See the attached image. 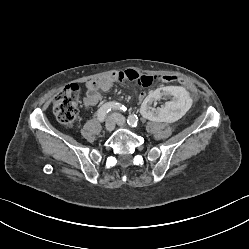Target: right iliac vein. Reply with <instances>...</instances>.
Segmentation results:
<instances>
[{
  "label": "right iliac vein",
  "mask_w": 249,
  "mask_h": 249,
  "mask_svg": "<svg viewBox=\"0 0 249 249\" xmlns=\"http://www.w3.org/2000/svg\"><path fill=\"white\" fill-rule=\"evenodd\" d=\"M116 124V115H111L107 118L106 123H105V129L108 132H111L114 130Z\"/></svg>",
  "instance_id": "right-iliac-vein-1"
}]
</instances>
